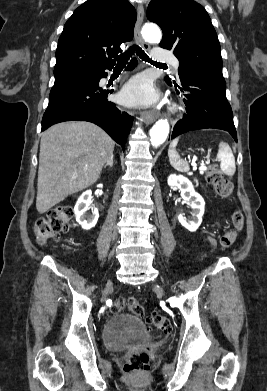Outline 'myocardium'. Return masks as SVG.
Returning <instances> with one entry per match:
<instances>
[{
	"instance_id": "obj_1",
	"label": "myocardium",
	"mask_w": 267,
	"mask_h": 391,
	"mask_svg": "<svg viewBox=\"0 0 267 391\" xmlns=\"http://www.w3.org/2000/svg\"><path fill=\"white\" fill-rule=\"evenodd\" d=\"M172 110H176V107H172Z\"/></svg>"
}]
</instances>
